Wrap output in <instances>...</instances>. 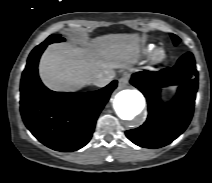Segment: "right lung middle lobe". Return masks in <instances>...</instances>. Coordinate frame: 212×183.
I'll list each match as a JSON object with an SVG mask.
<instances>
[{"label": "right lung middle lobe", "instance_id": "right-lung-middle-lobe-1", "mask_svg": "<svg viewBox=\"0 0 212 183\" xmlns=\"http://www.w3.org/2000/svg\"><path fill=\"white\" fill-rule=\"evenodd\" d=\"M45 41H49L51 44L54 42H62V41H64V38H62L60 35H51Z\"/></svg>", "mask_w": 212, "mask_h": 183}]
</instances>
